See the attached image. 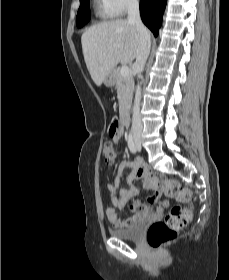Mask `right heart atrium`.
Returning <instances> with one entry per match:
<instances>
[{
  "mask_svg": "<svg viewBox=\"0 0 229 280\" xmlns=\"http://www.w3.org/2000/svg\"><path fill=\"white\" fill-rule=\"evenodd\" d=\"M102 7L114 17L123 16L135 8L139 0H99Z\"/></svg>",
  "mask_w": 229,
  "mask_h": 280,
  "instance_id": "right-heart-atrium-1",
  "label": "right heart atrium"
}]
</instances>
